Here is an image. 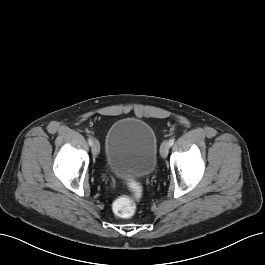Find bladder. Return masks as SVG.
<instances>
[{"label": "bladder", "mask_w": 265, "mask_h": 265, "mask_svg": "<svg viewBox=\"0 0 265 265\" xmlns=\"http://www.w3.org/2000/svg\"><path fill=\"white\" fill-rule=\"evenodd\" d=\"M157 147V137L150 124L139 118H120L106 135L107 166L124 179L146 178L156 167Z\"/></svg>", "instance_id": "1"}]
</instances>
